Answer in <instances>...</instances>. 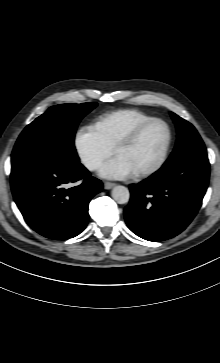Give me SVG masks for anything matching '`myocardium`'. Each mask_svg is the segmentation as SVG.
Segmentation results:
<instances>
[{
    "mask_svg": "<svg viewBox=\"0 0 220 363\" xmlns=\"http://www.w3.org/2000/svg\"><path fill=\"white\" fill-rule=\"evenodd\" d=\"M155 123L162 124L166 129L167 141H166L165 147L163 149V152H162L159 160L150 168L136 172L134 174V176L136 178H144V177L151 176V175L157 173L165 165V163L168 159V156H169V153L171 150V146H172V141H173V132H172V129H171V126L169 125V123L167 121H165L164 119L157 118V117L148 119V120L136 125L128 133L124 134L113 146V153L116 154L119 149L132 144L147 127H149L150 125L155 124Z\"/></svg>",
    "mask_w": 220,
    "mask_h": 363,
    "instance_id": "1",
    "label": "myocardium"
}]
</instances>
